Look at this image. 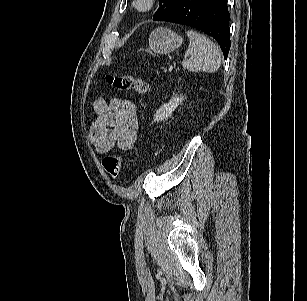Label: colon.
<instances>
[{
  "label": "colon",
  "mask_w": 307,
  "mask_h": 301,
  "mask_svg": "<svg viewBox=\"0 0 307 301\" xmlns=\"http://www.w3.org/2000/svg\"><path fill=\"white\" fill-rule=\"evenodd\" d=\"M106 80L110 85L119 90L132 91L137 95H147L149 92V85L146 81L129 74H108ZM102 164L105 170L112 177L116 178L120 174L123 158L121 156H108L103 159Z\"/></svg>",
  "instance_id": "colon-1"
}]
</instances>
